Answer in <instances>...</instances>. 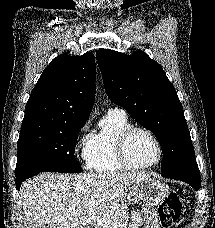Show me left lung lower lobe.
Segmentation results:
<instances>
[{
    "instance_id": "left-lung-lower-lobe-1",
    "label": "left lung lower lobe",
    "mask_w": 215,
    "mask_h": 228,
    "mask_svg": "<svg viewBox=\"0 0 215 228\" xmlns=\"http://www.w3.org/2000/svg\"><path fill=\"white\" fill-rule=\"evenodd\" d=\"M163 177L184 181L196 191L200 189V173L196 161L188 162L174 170L161 173Z\"/></svg>"
}]
</instances>
